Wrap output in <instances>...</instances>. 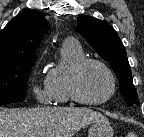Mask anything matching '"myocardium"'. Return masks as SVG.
Here are the masks:
<instances>
[{
	"instance_id": "obj_1",
	"label": "myocardium",
	"mask_w": 144,
	"mask_h": 137,
	"mask_svg": "<svg viewBox=\"0 0 144 137\" xmlns=\"http://www.w3.org/2000/svg\"><path fill=\"white\" fill-rule=\"evenodd\" d=\"M92 64L100 66L107 73L111 82V90L109 94L100 100H89L85 98L82 95L80 88H79V79H80L82 72L87 66L92 65ZM69 90H70V95L73 101L83 104V105L98 106V105L107 103L114 97L117 91V81H116L113 71L103 61L94 59V58H84L71 71V74L69 77Z\"/></svg>"
}]
</instances>
